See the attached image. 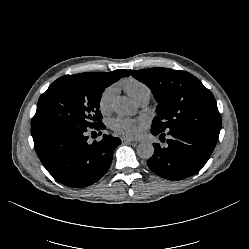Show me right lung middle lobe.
Here are the masks:
<instances>
[{"instance_id": "1", "label": "right lung middle lobe", "mask_w": 249, "mask_h": 249, "mask_svg": "<svg viewBox=\"0 0 249 249\" xmlns=\"http://www.w3.org/2000/svg\"><path fill=\"white\" fill-rule=\"evenodd\" d=\"M117 80L102 73L65 75L40 96L31 125L68 124L93 128L102 123L99 104L105 88Z\"/></svg>"}]
</instances>
